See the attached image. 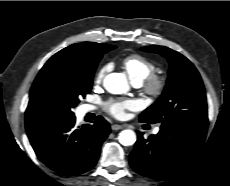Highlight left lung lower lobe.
<instances>
[{
  "label": "left lung lower lobe",
  "instance_id": "1",
  "mask_svg": "<svg viewBox=\"0 0 230 186\" xmlns=\"http://www.w3.org/2000/svg\"><path fill=\"white\" fill-rule=\"evenodd\" d=\"M208 122H182L161 126L147 139L138 132L129 156L137 173L154 179H166L184 168L197 154L206 137Z\"/></svg>",
  "mask_w": 230,
  "mask_h": 186
}]
</instances>
